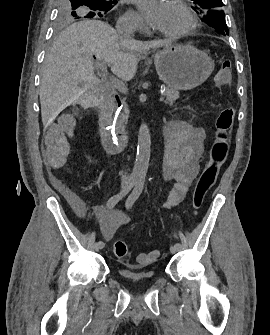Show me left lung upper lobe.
Returning a JSON list of instances; mask_svg holds the SVG:
<instances>
[{"label":"left lung upper lobe","mask_w":270,"mask_h":335,"mask_svg":"<svg viewBox=\"0 0 270 335\" xmlns=\"http://www.w3.org/2000/svg\"><path fill=\"white\" fill-rule=\"evenodd\" d=\"M222 0H193L191 8L202 16L219 34H229L225 22V13L222 10Z\"/></svg>","instance_id":"left-lung-upper-lobe-1"}]
</instances>
